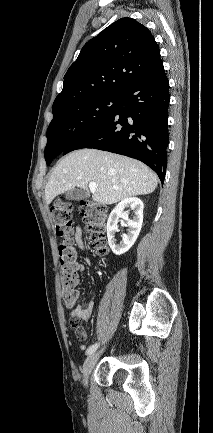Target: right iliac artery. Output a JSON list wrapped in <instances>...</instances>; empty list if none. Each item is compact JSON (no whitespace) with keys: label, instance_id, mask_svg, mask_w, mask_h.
Listing matches in <instances>:
<instances>
[{"label":"right iliac artery","instance_id":"right-iliac-artery-1","mask_svg":"<svg viewBox=\"0 0 213 433\" xmlns=\"http://www.w3.org/2000/svg\"><path fill=\"white\" fill-rule=\"evenodd\" d=\"M98 346H99L98 343H95V344L91 345V346L87 349V351H86V355H90V354H92L93 352H95L96 349L98 348Z\"/></svg>","mask_w":213,"mask_h":433}]
</instances>
